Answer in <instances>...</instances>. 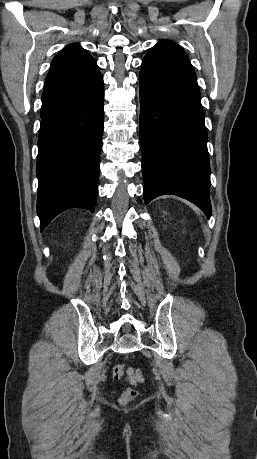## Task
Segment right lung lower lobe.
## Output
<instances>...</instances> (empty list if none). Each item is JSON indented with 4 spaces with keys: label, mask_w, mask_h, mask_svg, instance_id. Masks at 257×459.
<instances>
[{
    "label": "right lung lower lobe",
    "mask_w": 257,
    "mask_h": 459,
    "mask_svg": "<svg viewBox=\"0 0 257 459\" xmlns=\"http://www.w3.org/2000/svg\"><path fill=\"white\" fill-rule=\"evenodd\" d=\"M103 78L45 90L38 135L37 213L41 230L61 212H94L103 131Z\"/></svg>",
    "instance_id": "obj_1"
}]
</instances>
